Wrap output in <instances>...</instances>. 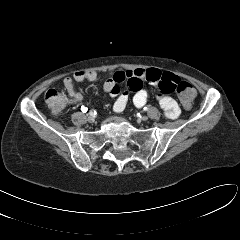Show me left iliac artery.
Wrapping results in <instances>:
<instances>
[{
  "label": "left iliac artery",
  "mask_w": 240,
  "mask_h": 240,
  "mask_svg": "<svg viewBox=\"0 0 240 240\" xmlns=\"http://www.w3.org/2000/svg\"><path fill=\"white\" fill-rule=\"evenodd\" d=\"M148 110V107H144V111H147Z\"/></svg>",
  "instance_id": "obj_1"
}]
</instances>
